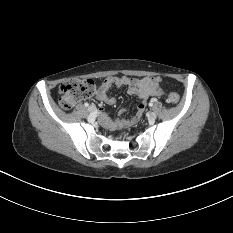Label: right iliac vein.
<instances>
[{
	"mask_svg": "<svg viewBox=\"0 0 233 233\" xmlns=\"http://www.w3.org/2000/svg\"><path fill=\"white\" fill-rule=\"evenodd\" d=\"M88 111L92 114H94L96 112V107L94 105H91L88 107Z\"/></svg>",
	"mask_w": 233,
	"mask_h": 233,
	"instance_id": "right-iliac-vein-1",
	"label": "right iliac vein"
}]
</instances>
